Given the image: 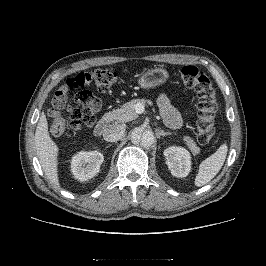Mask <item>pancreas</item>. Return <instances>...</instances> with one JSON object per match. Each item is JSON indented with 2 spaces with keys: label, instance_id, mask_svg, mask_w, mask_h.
<instances>
[{
  "label": "pancreas",
  "instance_id": "1",
  "mask_svg": "<svg viewBox=\"0 0 266 266\" xmlns=\"http://www.w3.org/2000/svg\"><path fill=\"white\" fill-rule=\"evenodd\" d=\"M138 103L146 105V104H151V101L145 99H135L125 103L120 109H116L109 112L108 115L110 116V119L112 121H116L119 123H126L132 121L137 118V112L135 110V106ZM183 141L191 150L193 155H197L200 153V148L197 146V144L191 137L184 136Z\"/></svg>",
  "mask_w": 266,
  "mask_h": 266
}]
</instances>
